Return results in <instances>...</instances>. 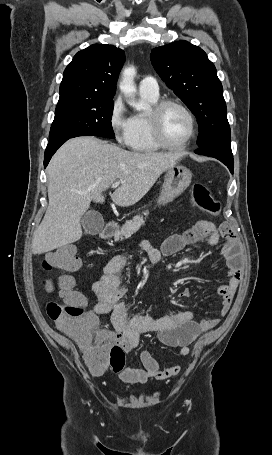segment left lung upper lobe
Listing matches in <instances>:
<instances>
[{
	"label": "left lung upper lobe",
	"mask_w": 272,
	"mask_h": 455,
	"mask_svg": "<svg viewBox=\"0 0 272 455\" xmlns=\"http://www.w3.org/2000/svg\"><path fill=\"white\" fill-rule=\"evenodd\" d=\"M156 72L198 119V147L230 136L223 87L214 64L198 46L181 40L151 52Z\"/></svg>",
	"instance_id": "5c2ea615"
}]
</instances>
